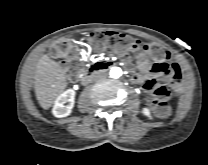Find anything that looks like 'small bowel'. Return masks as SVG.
I'll return each instance as SVG.
<instances>
[{
    "label": "small bowel",
    "mask_w": 208,
    "mask_h": 165,
    "mask_svg": "<svg viewBox=\"0 0 208 165\" xmlns=\"http://www.w3.org/2000/svg\"><path fill=\"white\" fill-rule=\"evenodd\" d=\"M137 66L141 74H135L133 80L143 84L145 90L154 93L157 86L155 78H162L172 87L178 86L184 79V67L178 61L172 60H151V54L147 50L138 53ZM79 62L72 58L67 64L68 79L78 81L80 72L78 71Z\"/></svg>",
    "instance_id": "1"
}]
</instances>
